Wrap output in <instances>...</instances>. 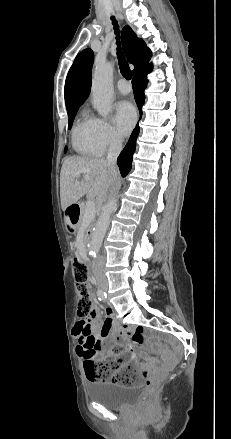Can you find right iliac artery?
<instances>
[{"mask_svg": "<svg viewBox=\"0 0 231 439\" xmlns=\"http://www.w3.org/2000/svg\"><path fill=\"white\" fill-rule=\"evenodd\" d=\"M97 296L99 300H103V301H105L107 298V294L101 289H98Z\"/></svg>", "mask_w": 231, "mask_h": 439, "instance_id": "obj_1", "label": "right iliac artery"}]
</instances>
